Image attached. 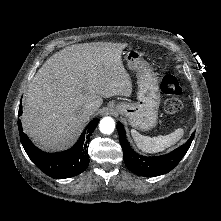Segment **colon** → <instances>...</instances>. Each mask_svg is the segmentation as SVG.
Segmentation results:
<instances>
[{"instance_id": "colon-1", "label": "colon", "mask_w": 221, "mask_h": 221, "mask_svg": "<svg viewBox=\"0 0 221 221\" xmlns=\"http://www.w3.org/2000/svg\"><path fill=\"white\" fill-rule=\"evenodd\" d=\"M161 90L169 96L164 103L165 111L167 113L178 112L182 107V103L178 98L182 92L179 80L173 75L165 76L161 82Z\"/></svg>"}]
</instances>
